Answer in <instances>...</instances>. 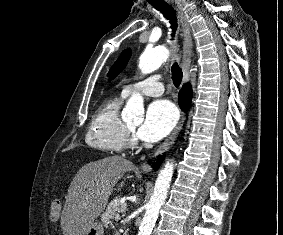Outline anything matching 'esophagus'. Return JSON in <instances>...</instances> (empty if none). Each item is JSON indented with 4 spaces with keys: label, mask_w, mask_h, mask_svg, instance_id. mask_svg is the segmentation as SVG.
Returning a JSON list of instances; mask_svg holds the SVG:
<instances>
[{
    "label": "esophagus",
    "mask_w": 283,
    "mask_h": 235,
    "mask_svg": "<svg viewBox=\"0 0 283 235\" xmlns=\"http://www.w3.org/2000/svg\"><path fill=\"white\" fill-rule=\"evenodd\" d=\"M173 5L180 19L183 30V57H182L181 67L183 70L184 82H187L190 76L189 68L191 63L192 46H193L191 30L181 7L176 3L175 4L173 3ZM184 121H185V114L182 115V118L178 126L175 128L172 134L158 147L155 156L163 154L165 151H167L170 148L177 134L182 129ZM150 170H151V166L147 163H143L140 166V171L142 173H148Z\"/></svg>",
    "instance_id": "obj_1"
}]
</instances>
